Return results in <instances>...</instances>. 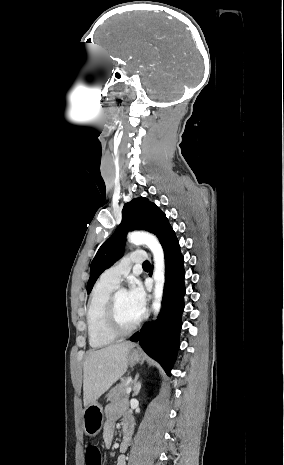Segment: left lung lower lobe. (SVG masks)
<instances>
[{"label":"left lung lower lobe","mask_w":284,"mask_h":465,"mask_svg":"<svg viewBox=\"0 0 284 465\" xmlns=\"http://www.w3.org/2000/svg\"><path fill=\"white\" fill-rule=\"evenodd\" d=\"M166 263V283L164 287L163 309L158 319L148 323L130 340L139 342L143 350L158 361L167 374L175 362L179 348V336L182 326L181 316L184 309L185 271L184 258L180 252L178 239L173 232L163 244Z\"/></svg>","instance_id":"obj_1"}]
</instances>
